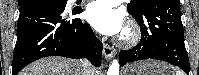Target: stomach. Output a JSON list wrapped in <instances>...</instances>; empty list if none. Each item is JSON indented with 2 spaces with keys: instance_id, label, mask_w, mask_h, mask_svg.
<instances>
[{
  "instance_id": "obj_1",
  "label": "stomach",
  "mask_w": 199,
  "mask_h": 75,
  "mask_svg": "<svg viewBox=\"0 0 199 75\" xmlns=\"http://www.w3.org/2000/svg\"><path fill=\"white\" fill-rule=\"evenodd\" d=\"M123 75H169V66L159 61H139L126 66Z\"/></svg>"
}]
</instances>
